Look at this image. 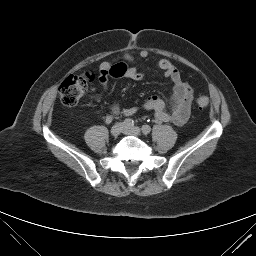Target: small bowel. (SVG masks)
<instances>
[{
	"mask_svg": "<svg viewBox=\"0 0 256 256\" xmlns=\"http://www.w3.org/2000/svg\"><path fill=\"white\" fill-rule=\"evenodd\" d=\"M140 58L147 59L149 52L142 50L139 54ZM134 57L130 54H125L121 58L113 62L104 61L99 65L100 82L105 89L108 88V83L112 78L125 77L134 81H141L145 74L136 67L128 65ZM157 67L163 72L173 84V95L171 99L172 111L166 109V104L163 99L158 96L148 97L142 104V108L146 111L153 112L155 119L158 122H170L176 126H182L188 122L193 102V89L186 82L179 70L166 59H161L157 62ZM138 107H128L120 109L117 105H112L111 112L113 115L123 114L131 116L137 113Z\"/></svg>",
	"mask_w": 256,
	"mask_h": 256,
	"instance_id": "c3829d8e",
	"label": "small bowel"
}]
</instances>
